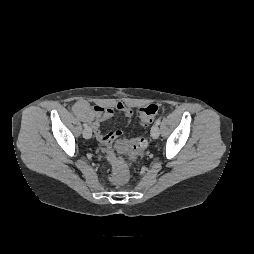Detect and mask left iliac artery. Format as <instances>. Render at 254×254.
Here are the masks:
<instances>
[{
	"label": "left iliac artery",
	"mask_w": 254,
	"mask_h": 254,
	"mask_svg": "<svg viewBox=\"0 0 254 254\" xmlns=\"http://www.w3.org/2000/svg\"><path fill=\"white\" fill-rule=\"evenodd\" d=\"M160 123H161V119L158 118V119L156 120L155 124H156V125H160Z\"/></svg>",
	"instance_id": "obj_1"
}]
</instances>
